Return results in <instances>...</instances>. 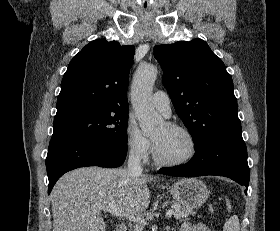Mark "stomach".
<instances>
[{"label": "stomach", "instance_id": "stomach-1", "mask_svg": "<svg viewBox=\"0 0 280 231\" xmlns=\"http://www.w3.org/2000/svg\"><path fill=\"white\" fill-rule=\"evenodd\" d=\"M169 189L175 201L186 205L189 209L201 207L209 195V189L205 183H202L200 179H195V177L178 179Z\"/></svg>", "mask_w": 280, "mask_h": 231}]
</instances>
